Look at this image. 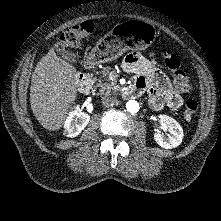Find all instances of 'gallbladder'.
Here are the masks:
<instances>
[{
    "instance_id": "gallbladder-1",
    "label": "gallbladder",
    "mask_w": 221,
    "mask_h": 221,
    "mask_svg": "<svg viewBox=\"0 0 221 221\" xmlns=\"http://www.w3.org/2000/svg\"><path fill=\"white\" fill-rule=\"evenodd\" d=\"M56 51L59 55L62 56L63 59L71 62V63H75L76 62V54L73 53L70 50L64 49V48H60V47H56Z\"/></svg>"
}]
</instances>
